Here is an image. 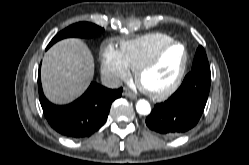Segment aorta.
I'll use <instances>...</instances> for the list:
<instances>
[{
  "label": "aorta",
  "mask_w": 249,
  "mask_h": 165,
  "mask_svg": "<svg viewBox=\"0 0 249 165\" xmlns=\"http://www.w3.org/2000/svg\"><path fill=\"white\" fill-rule=\"evenodd\" d=\"M136 110L141 115H148L151 112V107L148 101L141 99L136 104Z\"/></svg>",
  "instance_id": "762f6f07"
}]
</instances>
